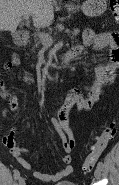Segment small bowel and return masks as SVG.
Segmentation results:
<instances>
[{"label": "small bowel", "instance_id": "small-bowel-1", "mask_svg": "<svg viewBox=\"0 0 119 185\" xmlns=\"http://www.w3.org/2000/svg\"><path fill=\"white\" fill-rule=\"evenodd\" d=\"M82 37L84 45L77 46L81 52L84 49V46H91L96 50L105 49L109 53V62L96 69V81L87 87L86 97H82L78 90H71L67 96L66 104L61 116L51 119V123L56 133L62 140L63 168L53 173L43 172L27 162L24 159L23 154L29 152V149L26 147H18L16 145L14 139V134L16 132L15 128H13L10 133L5 134L2 139L3 143L9 148L16 160L25 169L29 170L37 180L43 183L56 182L69 176L73 171V168L70 165L72 160L70 153L75 146V142L69 125V114L73 110L78 112L83 109L91 108L100 99L104 86L113 83L115 80V73L119 64V33L116 31L97 33L92 29H86L83 31ZM20 65V59L17 56H14L11 61L5 65V68L9 70ZM22 80L27 84L34 82L33 75L28 70H23ZM0 89L1 96L9 101L11 110L18 114V98L6 87L4 82L0 83ZM6 114L7 111H4V115Z\"/></svg>", "mask_w": 119, "mask_h": 185}]
</instances>
